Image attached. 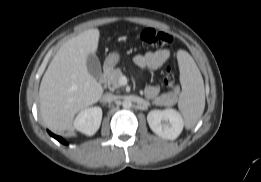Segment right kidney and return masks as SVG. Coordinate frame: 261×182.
Segmentation results:
<instances>
[{
    "mask_svg": "<svg viewBox=\"0 0 261 182\" xmlns=\"http://www.w3.org/2000/svg\"><path fill=\"white\" fill-rule=\"evenodd\" d=\"M102 120V109L100 107H91L82 110L74 120L76 130L92 136L100 127Z\"/></svg>",
    "mask_w": 261,
    "mask_h": 182,
    "instance_id": "right-kidney-1",
    "label": "right kidney"
}]
</instances>
